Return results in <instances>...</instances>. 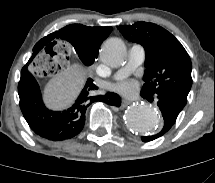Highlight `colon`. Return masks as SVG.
<instances>
[{
    "mask_svg": "<svg viewBox=\"0 0 215 183\" xmlns=\"http://www.w3.org/2000/svg\"><path fill=\"white\" fill-rule=\"evenodd\" d=\"M70 46L61 40L46 45L41 54L37 55L31 64L33 74L42 80L52 78L56 73L65 71L71 62Z\"/></svg>",
    "mask_w": 215,
    "mask_h": 183,
    "instance_id": "1",
    "label": "colon"
}]
</instances>
